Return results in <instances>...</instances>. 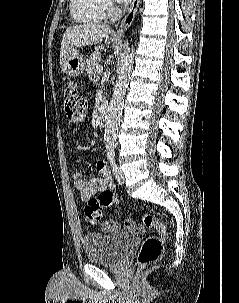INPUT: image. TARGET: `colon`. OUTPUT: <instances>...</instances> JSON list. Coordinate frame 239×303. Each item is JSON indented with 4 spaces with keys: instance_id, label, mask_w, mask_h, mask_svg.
<instances>
[{
    "instance_id": "colon-1",
    "label": "colon",
    "mask_w": 239,
    "mask_h": 303,
    "mask_svg": "<svg viewBox=\"0 0 239 303\" xmlns=\"http://www.w3.org/2000/svg\"><path fill=\"white\" fill-rule=\"evenodd\" d=\"M64 107L68 119L74 120L85 114L87 100L84 94L74 84H68L64 89ZM113 204L120 205L121 201L110 191H102L97 197H91L85 207L84 215L92 224L101 219V210ZM143 224L155 230V235L147 237L139 250L137 261L140 266H147L156 262L163 249V241L167 236L165 225L153 214H143Z\"/></svg>"
}]
</instances>
